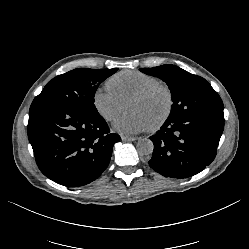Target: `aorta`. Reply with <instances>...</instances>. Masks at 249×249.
<instances>
[{
    "instance_id": "obj_1",
    "label": "aorta",
    "mask_w": 249,
    "mask_h": 249,
    "mask_svg": "<svg viewBox=\"0 0 249 249\" xmlns=\"http://www.w3.org/2000/svg\"><path fill=\"white\" fill-rule=\"evenodd\" d=\"M136 147L138 153L141 155H150L154 150L153 142L147 138L139 139Z\"/></svg>"
}]
</instances>
